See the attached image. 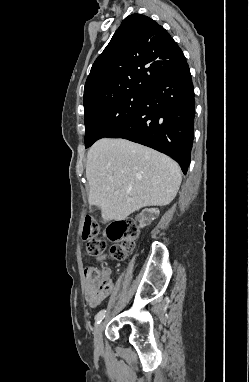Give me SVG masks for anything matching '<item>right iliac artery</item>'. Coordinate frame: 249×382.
<instances>
[{"label": "right iliac artery", "mask_w": 249, "mask_h": 382, "mask_svg": "<svg viewBox=\"0 0 249 382\" xmlns=\"http://www.w3.org/2000/svg\"><path fill=\"white\" fill-rule=\"evenodd\" d=\"M105 314H106V310H101L97 313V315L95 316V320L97 324H99L103 320V318L105 317Z\"/></svg>", "instance_id": "obj_1"}]
</instances>
